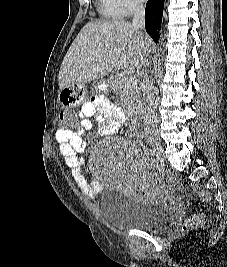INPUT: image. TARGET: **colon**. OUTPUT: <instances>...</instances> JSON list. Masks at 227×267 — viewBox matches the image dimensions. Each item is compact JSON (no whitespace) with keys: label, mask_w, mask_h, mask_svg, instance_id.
Returning <instances> with one entry per match:
<instances>
[{"label":"colon","mask_w":227,"mask_h":267,"mask_svg":"<svg viewBox=\"0 0 227 267\" xmlns=\"http://www.w3.org/2000/svg\"><path fill=\"white\" fill-rule=\"evenodd\" d=\"M59 96V95H58ZM62 125H60V130H71L70 119H74V111L72 110H60V114L58 115ZM168 179L167 174H163ZM204 224V218L201 215H194L188 218L183 224V230L188 231L191 229H196L201 227Z\"/></svg>","instance_id":"colon-1"}]
</instances>
